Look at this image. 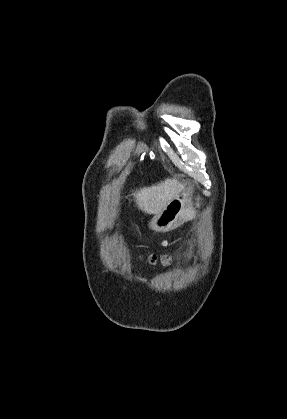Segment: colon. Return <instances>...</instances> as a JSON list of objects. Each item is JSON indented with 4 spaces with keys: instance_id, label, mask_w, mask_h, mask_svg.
<instances>
[{
    "instance_id": "5ec220e1",
    "label": "colon",
    "mask_w": 287,
    "mask_h": 419,
    "mask_svg": "<svg viewBox=\"0 0 287 419\" xmlns=\"http://www.w3.org/2000/svg\"><path fill=\"white\" fill-rule=\"evenodd\" d=\"M157 259H158V257L156 255H152L150 257L151 262H156ZM159 259L162 260L164 263H167L169 261V259L166 256H160Z\"/></svg>"
}]
</instances>
